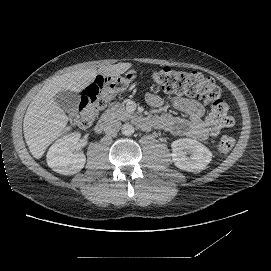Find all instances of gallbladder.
<instances>
[{"label": "gallbladder", "instance_id": "obj_1", "mask_svg": "<svg viewBox=\"0 0 271 271\" xmlns=\"http://www.w3.org/2000/svg\"><path fill=\"white\" fill-rule=\"evenodd\" d=\"M55 102L64 111H75L80 102V97L72 91H63L57 94Z\"/></svg>", "mask_w": 271, "mask_h": 271}]
</instances>
